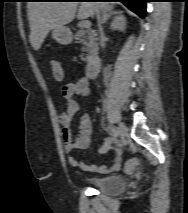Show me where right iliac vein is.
Segmentation results:
<instances>
[{
	"label": "right iliac vein",
	"mask_w": 188,
	"mask_h": 213,
	"mask_svg": "<svg viewBox=\"0 0 188 213\" xmlns=\"http://www.w3.org/2000/svg\"><path fill=\"white\" fill-rule=\"evenodd\" d=\"M118 133H119V136L123 139L126 134H127V127L125 126V124L123 122H120L119 123V126H118Z\"/></svg>",
	"instance_id": "right-iliac-vein-1"
}]
</instances>
